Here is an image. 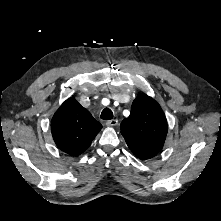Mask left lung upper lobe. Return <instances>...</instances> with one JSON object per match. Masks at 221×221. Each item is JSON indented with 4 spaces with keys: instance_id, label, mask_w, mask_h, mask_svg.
I'll return each mask as SVG.
<instances>
[{
    "instance_id": "obj_1",
    "label": "left lung upper lobe",
    "mask_w": 221,
    "mask_h": 221,
    "mask_svg": "<svg viewBox=\"0 0 221 221\" xmlns=\"http://www.w3.org/2000/svg\"><path fill=\"white\" fill-rule=\"evenodd\" d=\"M121 133L135 156L149 159L160 152L167 135V121L160 105L146 94L132 103L131 113L120 125Z\"/></svg>"
}]
</instances>
